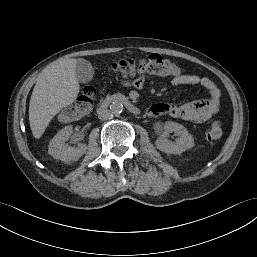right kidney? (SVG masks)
Returning a JSON list of instances; mask_svg holds the SVG:
<instances>
[{
  "instance_id": "right-kidney-1",
  "label": "right kidney",
  "mask_w": 257,
  "mask_h": 257,
  "mask_svg": "<svg viewBox=\"0 0 257 257\" xmlns=\"http://www.w3.org/2000/svg\"><path fill=\"white\" fill-rule=\"evenodd\" d=\"M72 133L73 127L71 125L66 126L61 129L50 141L48 153L53 158L60 159L65 163H69L71 161L78 160L86 153V144H79L77 147H71L66 143Z\"/></svg>"
}]
</instances>
